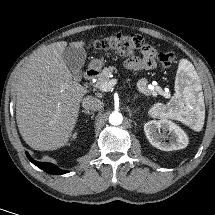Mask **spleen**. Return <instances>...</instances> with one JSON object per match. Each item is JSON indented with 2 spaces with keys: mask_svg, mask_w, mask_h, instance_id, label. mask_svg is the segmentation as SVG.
Here are the masks:
<instances>
[{
  "mask_svg": "<svg viewBox=\"0 0 215 215\" xmlns=\"http://www.w3.org/2000/svg\"><path fill=\"white\" fill-rule=\"evenodd\" d=\"M197 77L192 63L185 59L181 60L175 80L174 96L167 105L155 104L150 114L172 118L196 131L201 130L205 118V105L202 93L196 90Z\"/></svg>",
  "mask_w": 215,
  "mask_h": 215,
  "instance_id": "1",
  "label": "spleen"
}]
</instances>
